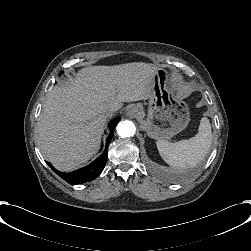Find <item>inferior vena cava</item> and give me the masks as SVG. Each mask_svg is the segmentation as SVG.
<instances>
[{"label": "inferior vena cava", "mask_w": 251, "mask_h": 251, "mask_svg": "<svg viewBox=\"0 0 251 251\" xmlns=\"http://www.w3.org/2000/svg\"><path fill=\"white\" fill-rule=\"evenodd\" d=\"M118 110V108H115V107H112L111 109H110V112H115V111H117Z\"/></svg>", "instance_id": "1"}]
</instances>
